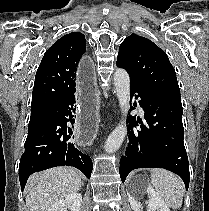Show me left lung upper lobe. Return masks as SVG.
Wrapping results in <instances>:
<instances>
[{
	"instance_id": "1",
	"label": "left lung upper lobe",
	"mask_w": 209,
	"mask_h": 211,
	"mask_svg": "<svg viewBox=\"0 0 209 211\" xmlns=\"http://www.w3.org/2000/svg\"><path fill=\"white\" fill-rule=\"evenodd\" d=\"M117 66L130 81L153 94L181 99L176 73L167 55L151 40L132 34L120 45Z\"/></svg>"
}]
</instances>
